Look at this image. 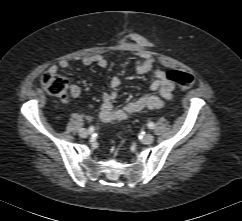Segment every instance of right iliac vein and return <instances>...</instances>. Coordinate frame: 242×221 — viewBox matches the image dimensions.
Masks as SVG:
<instances>
[{
  "label": "right iliac vein",
  "mask_w": 242,
  "mask_h": 221,
  "mask_svg": "<svg viewBox=\"0 0 242 221\" xmlns=\"http://www.w3.org/2000/svg\"><path fill=\"white\" fill-rule=\"evenodd\" d=\"M79 135H80V137H82V138H86V137L89 135V132H88L86 129H81V130L79 131Z\"/></svg>",
  "instance_id": "right-iliac-vein-1"
}]
</instances>
